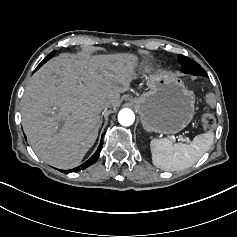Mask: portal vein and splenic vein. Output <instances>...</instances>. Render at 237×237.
Here are the masks:
<instances>
[{
  "label": "portal vein and splenic vein",
  "instance_id": "18ae733b",
  "mask_svg": "<svg viewBox=\"0 0 237 237\" xmlns=\"http://www.w3.org/2000/svg\"><path fill=\"white\" fill-rule=\"evenodd\" d=\"M179 138H180V140L183 141V142H191V138L184 139V138H182V135H181V134L179 135Z\"/></svg>",
  "mask_w": 237,
  "mask_h": 237
}]
</instances>
